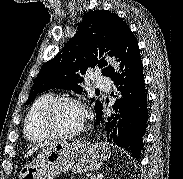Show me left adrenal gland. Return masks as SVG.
I'll return each mask as SVG.
<instances>
[{"mask_svg": "<svg viewBox=\"0 0 183 179\" xmlns=\"http://www.w3.org/2000/svg\"><path fill=\"white\" fill-rule=\"evenodd\" d=\"M102 178H103V175L102 174H94L89 179H102Z\"/></svg>", "mask_w": 183, "mask_h": 179, "instance_id": "1", "label": "left adrenal gland"}]
</instances>
